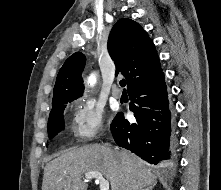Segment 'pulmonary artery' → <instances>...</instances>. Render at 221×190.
Here are the masks:
<instances>
[{"instance_id": "obj_1", "label": "pulmonary artery", "mask_w": 221, "mask_h": 190, "mask_svg": "<svg viewBox=\"0 0 221 190\" xmlns=\"http://www.w3.org/2000/svg\"><path fill=\"white\" fill-rule=\"evenodd\" d=\"M112 95L116 99H120L122 97V90L117 85H115L112 89Z\"/></svg>"}]
</instances>
